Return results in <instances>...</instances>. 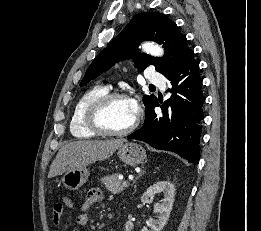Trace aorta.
<instances>
[{
	"label": "aorta",
	"mask_w": 261,
	"mask_h": 231,
	"mask_svg": "<svg viewBox=\"0 0 261 231\" xmlns=\"http://www.w3.org/2000/svg\"><path fill=\"white\" fill-rule=\"evenodd\" d=\"M142 49L146 53H148L152 56H155V57H160L164 54L163 49L159 45L152 44V43L143 44Z\"/></svg>",
	"instance_id": "aorta-1"
}]
</instances>
